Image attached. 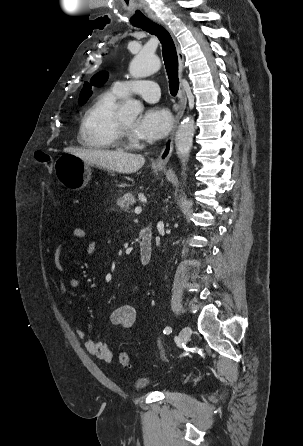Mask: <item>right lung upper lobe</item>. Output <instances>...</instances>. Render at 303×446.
<instances>
[{
    "label": "right lung upper lobe",
    "instance_id": "cb5924a9",
    "mask_svg": "<svg viewBox=\"0 0 303 446\" xmlns=\"http://www.w3.org/2000/svg\"><path fill=\"white\" fill-rule=\"evenodd\" d=\"M108 78V74L106 72H100L96 74L89 83H85L84 87L80 93V103L83 104L87 101V99L92 94L91 85L93 86H102Z\"/></svg>",
    "mask_w": 303,
    "mask_h": 446
}]
</instances>
